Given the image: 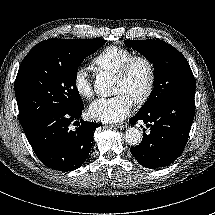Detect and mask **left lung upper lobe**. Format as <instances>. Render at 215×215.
<instances>
[{"label":"left lung upper lobe","instance_id":"obj_1","mask_svg":"<svg viewBox=\"0 0 215 215\" xmlns=\"http://www.w3.org/2000/svg\"><path fill=\"white\" fill-rule=\"evenodd\" d=\"M125 46L144 54L154 65V88L138 112L152 109L161 101L195 91V79L185 57L162 40H124Z\"/></svg>","mask_w":215,"mask_h":215}]
</instances>
